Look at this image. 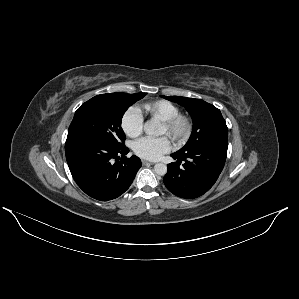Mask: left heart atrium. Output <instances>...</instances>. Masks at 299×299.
Returning a JSON list of instances; mask_svg holds the SVG:
<instances>
[{"instance_id":"1","label":"left heart atrium","mask_w":299,"mask_h":299,"mask_svg":"<svg viewBox=\"0 0 299 299\" xmlns=\"http://www.w3.org/2000/svg\"><path fill=\"white\" fill-rule=\"evenodd\" d=\"M171 143L167 137H142L133 144L134 152L145 159L157 160L169 152Z\"/></svg>"}]
</instances>
